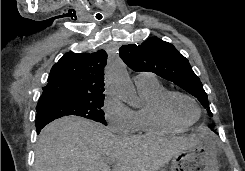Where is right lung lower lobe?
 Masks as SVG:
<instances>
[{
	"mask_svg": "<svg viewBox=\"0 0 245 171\" xmlns=\"http://www.w3.org/2000/svg\"><path fill=\"white\" fill-rule=\"evenodd\" d=\"M54 118H51L44 114H37L36 115V130L37 133H40L41 129L48 124L49 122L53 121Z\"/></svg>",
	"mask_w": 245,
	"mask_h": 171,
	"instance_id": "1",
	"label": "right lung lower lobe"
}]
</instances>
